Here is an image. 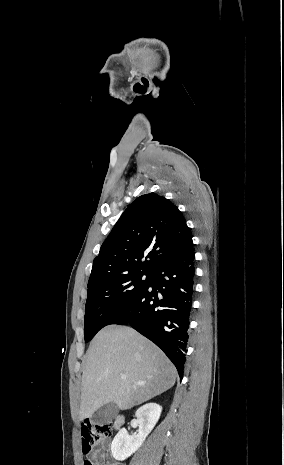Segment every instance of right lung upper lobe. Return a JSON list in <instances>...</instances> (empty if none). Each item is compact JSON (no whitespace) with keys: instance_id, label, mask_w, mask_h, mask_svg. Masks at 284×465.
Instances as JSON below:
<instances>
[{"instance_id":"obj_1","label":"right lung upper lobe","mask_w":284,"mask_h":465,"mask_svg":"<svg viewBox=\"0 0 284 465\" xmlns=\"http://www.w3.org/2000/svg\"><path fill=\"white\" fill-rule=\"evenodd\" d=\"M191 238L182 213L172 202L154 193L142 195L127 207L102 244L88 289L128 274H151Z\"/></svg>"}]
</instances>
